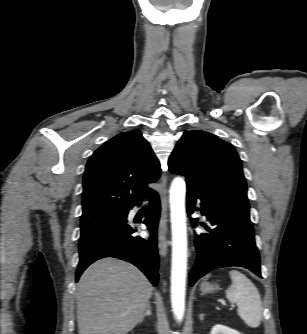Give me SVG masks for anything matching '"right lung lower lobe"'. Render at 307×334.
Listing matches in <instances>:
<instances>
[{"mask_svg": "<svg viewBox=\"0 0 307 334\" xmlns=\"http://www.w3.org/2000/svg\"><path fill=\"white\" fill-rule=\"evenodd\" d=\"M146 196L150 198V209L144 223L148 226L151 237L145 240L139 236H133L135 229L130 225H125L92 240L80 248L76 281L91 263L104 257H115L134 264L148 277L153 285L158 284L159 257L156 229L160 216V201L154 190ZM140 203L137 205H140Z\"/></svg>", "mask_w": 307, "mask_h": 334, "instance_id": "obj_1", "label": "right lung lower lobe"}]
</instances>
